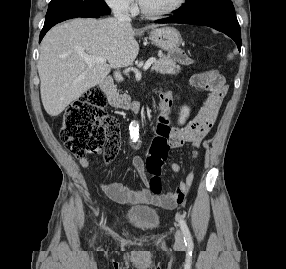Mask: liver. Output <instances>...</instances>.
Masks as SVG:
<instances>
[{
  "instance_id": "obj_1",
  "label": "liver",
  "mask_w": 286,
  "mask_h": 269,
  "mask_svg": "<svg viewBox=\"0 0 286 269\" xmlns=\"http://www.w3.org/2000/svg\"><path fill=\"white\" fill-rule=\"evenodd\" d=\"M135 34L130 23L116 18H76L53 27L41 42L38 62L46 112L58 116L83 93L100 84L112 68L130 66L139 52ZM82 55L101 56L105 62L88 64Z\"/></svg>"
}]
</instances>
